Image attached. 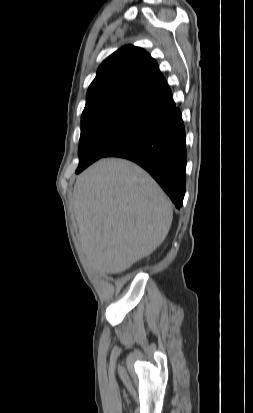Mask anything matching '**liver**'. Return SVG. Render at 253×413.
<instances>
[{
  "label": "liver",
  "instance_id": "obj_1",
  "mask_svg": "<svg viewBox=\"0 0 253 413\" xmlns=\"http://www.w3.org/2000/svg\"><path fill=\"white\" fill-rule=\"evenodd\" d=\"M79 243L88 265L118 274L150 255L166 238L172 205L141 167L101 159L80 174L73 191Z\"/></svg>",
  "mask_w": 253,
  "mask_h": 413
}]
</instances>
